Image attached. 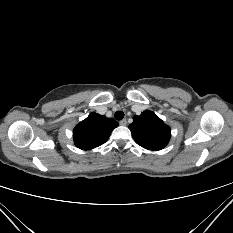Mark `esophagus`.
<instances>
[{
  "label": "esophagus",
  "instance_id": "34e87169",
  "mask_svg": "<svg viewBox=\"0 0 233 233\" xmlns=\"http://www.w3.org/2000/svg\"><path fill=\"white\" fill-rule=\"evenodd\" d=\"M119 124H120L121 126H125V125L127 124V120H126V119H123V120H121V121L119 122Z\"/></svg>",
  "mask_w": 233,
  "mask_h": 233
}]
</instances>
